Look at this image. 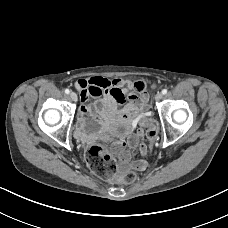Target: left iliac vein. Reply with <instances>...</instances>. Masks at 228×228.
Instances as JSON below:
<instances>
[{"label":"left iliac vein","mask_w":228,"mask_h":228,"mask_svg":"<svg viewBox=\"0 0 228 228\" xmlns=\"http://www.w3.org/2000/svg\"><path fill=\"white\" fill-rule=\"evenodd\" d=\"M163 97V94L161 92H157L155 95V100L156 101H160Z\"/></svg>","instance_id":"4c4485c4"}]
</instances>
